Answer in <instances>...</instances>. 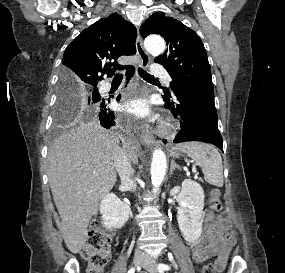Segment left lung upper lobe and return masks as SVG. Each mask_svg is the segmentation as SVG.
I'll return each mask as SVG.
<instances>
[{"label":"left lung upper lobe","mask_w":285,"mask_h":273,"mask_svg":"<svg viewBox=\"0 0 285 273\" xmlns=\"http://www.w3.org/2000/svg\"><path fill=\"white\" fill-rule=\"evenodd\" d=\"M153 33L163 36L168 45L155 62L168 70L174 93H214L206 50L194 31L164 13L156 12L140 28L143 38ZM166 95L170 97L168 89Z\"/></svg>","instance_id":"left-lung-upper-lobe-1"}]
</instances>
